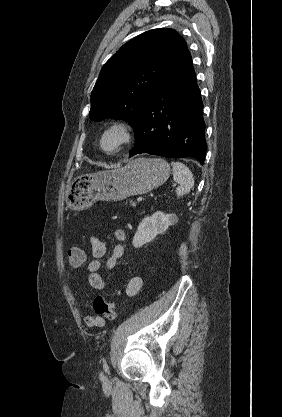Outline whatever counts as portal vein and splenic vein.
Segmentation results:
<instances>
[{
  "label": "portal vein and splenic vein",
  "instance_id": "portal-vein-and-splenic-vein-1",
  "mask_svg": "<svg viewBox=\"0 0 282 417\" xmlns=\"http://www.w3.org/2000/svg\"><path fill=\"white\" fill-rule=\"evenodd\" d=\"M173 186H175V184H173ZM143 200H144L143 195H140V196L138 197V199H137V202H138V203H142V202H143Z\"/></svg>",
  "mask_w": 282,
  "mask_h": 417
}]
</instances>
